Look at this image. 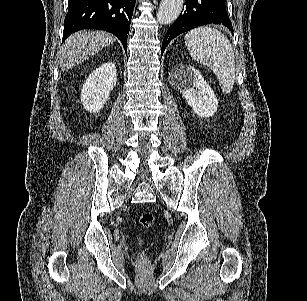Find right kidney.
Segmentation results:
<instances>
[{
	"instance_id": "ca27d5eb",
	"label": "right kidney",
	"mask_w": 307,
	"mask_h": 301,
	"mask_svg": "<svg viewBox=\"0 0 307 301\" xmlns=\"http://www.w3.org/2000/svg\"><path fill=\"white\" fill-rule=\"evenodd\" d=\"M117 82L114 62H103L82 84L80 102L88 112H100Z\"/></svg>"
}]
</instances>
